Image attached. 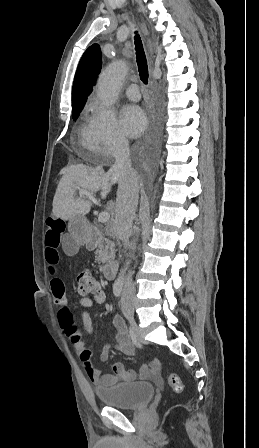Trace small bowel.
<instances>
[{
  "instance_id": "1",
  "label": "small bowel",
  "mask_w": 259,
  "mask_h": 448,
  "mask_svg": "<svg viewBox=\"0 0 259 448\" xmlns=\"http://www.w3.org/2000/svg\"><path fill=\"white\" fill-rule=\"evenodd\" d=\"M64 232V225L59 220H50L47 223V228L44 235V255L47 264L48 272L50 274V287L53 296V301L58 307L57 320L60 328L65 335L72 342L74 349L78 353L84 370L88 378L99 387H110L115 385L118 381H133L138 377L157 378L160 371V361L158 359L149 360L137 374L134 371H126L123 364L114 362L111 365L112 372H102L98 370L92 360L91 352L85 347L79 330L74 326L73 316L68 308V301L65 294V286L62 279L58 276L59 264V245ZM105 301V294L101 291L94 296L83 297L79 300V304L83 307L82 312V326L84 331L91 333L93 331V323L90 315V310L97 304ZM115 335V349L125 356H132L134 354V346L129 338L128 329L122 317L115 315L112 319ZM112 347L105 345L101 360L106 361L109 358Z\"/></svg>"
}]
</instances>
